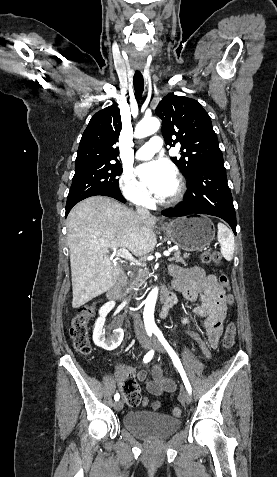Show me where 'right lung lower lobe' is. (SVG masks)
I'll return each mask as SVG.
<instances>
[{"mask_svg": "<svg viewBox=\"0 0 277 477\" xmlns=\"http://www.w3.org/2000/svg\"><path fill=\"white\" fill-rule=\"evenodd\" d=\"M96 195L108 196V197L115 198V199H117V200H119V201H121V202H123V203L126 202L125 198H124L121 194L96 193V194H93V195H91V196H96ZM89 197H90V196H89ZM71 209H72V207L69 208V209H66V214H65V216L68 215V213L70 212Z\"/></svg>", "mask_w": 277, "mask_h": 477, "instance_id": "right-lung-lower-lobe-1", "label": "right lung lower lobe"}]
</instances>
